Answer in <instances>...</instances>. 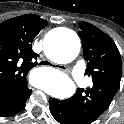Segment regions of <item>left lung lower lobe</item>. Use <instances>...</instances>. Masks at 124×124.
<instances>
[{"label": "left lung lower lobe", "mask_w": 124, "mask_h": 124, "mask_svg": "<svg viewBox=\"0 0 124 124\" xmlns=\"http://www.w3.org/2000/svg\"><path fill=\"white\" fill-rule=\"evenodd\" d=\"M50 112L60 124H79L74 117L73 110L69 99L57 100L49 99Z\"/></svg>", "instance_id": "left-lung-lower-lobe-1"}]
</instances>
